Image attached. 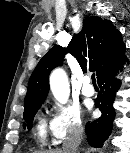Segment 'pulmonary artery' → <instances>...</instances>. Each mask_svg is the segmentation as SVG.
Returning <instances> with one entry per match:
<instances>
[{
  "mask_svg": "<svg viewBox=\"0 0 130 153\" xmlns=\"http://www.w3.org/2000/svg\"><path fill=\"white\" fill-rule=\"evenodd\" d=\"M81 92L84 96L91 97L94 95V88L90 84L89 77L84 78V85L81 88Z\"/></svg>",
  "mask_w": 130,
  "mask_h": 153,
  "instance_id": "pulmonary-artery-1",
  "label": "pulmonary artery"
}]
</instances>
